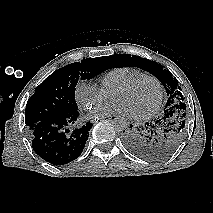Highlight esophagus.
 I'll return each mask as SVG.
<instances>
[{"mask_svg": "<svg viewBox=\"0 0 213 213\" xmlns=\"http://www.w3.org/2000/svg\"><path fill=\"white\" fill-rule=\"evenodd\" d=\"M100 120H104V119H107V120H115L117 119V116L115 115H110V116H103V117H99Z\"/></svg>", "mask_w": 213, "mask_h": 213, "instance_id": "esophagus-1", "label": "esophagus"}]
</instances>
